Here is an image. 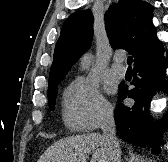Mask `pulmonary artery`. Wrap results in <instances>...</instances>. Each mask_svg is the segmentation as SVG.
<instances>
[{"label":"pulmonary artery","instance_id":"1","mask_svg":"<svg viewBox=\"0 0 168 162\" xmlns=\"http://www.w3.org/2000/svg\"><path fill=\"white\" fill-rule=\"evenodd\" d=\"M123 59L120 55H115L113 64L111 66L112 73L117 77H124L126 74V68L122 65Z\"/></svg>","mask_w":168,"mask_h":162}]
</instances>
